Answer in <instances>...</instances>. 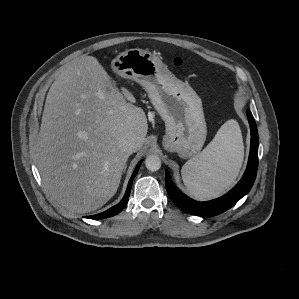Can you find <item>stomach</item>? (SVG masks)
I'll return each instance as SVG.
<instances>
[{
	"mask_svg": "<svg viewBox=\"0 0 299 299\" xmlns=\"http://www.w3.org/2000/svg\"><path fill=\"white\" fill-rule=\"evenodd\" d=\"M111 67L120 76L139 83L147 92L166 125L164 149L182 158L196 156L207 134L202 102L196 92L147 50H126L112 61Z\"/></svg>",
	"mask_w": 299,
	"mask_h": 299,
	"instance_id": "1",
	"label": "stomach"
}]
</instances>
